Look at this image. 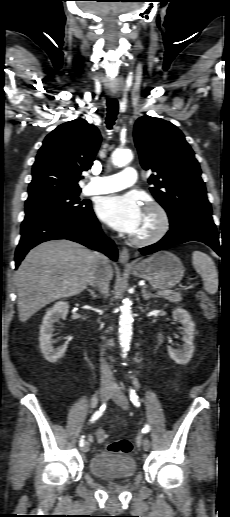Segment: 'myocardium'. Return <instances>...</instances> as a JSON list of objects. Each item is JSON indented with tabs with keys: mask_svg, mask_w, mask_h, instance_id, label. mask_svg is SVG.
Segmentation results:
<instances>
[{
	"mask_svg": "<svg viewBox=\"0 0 230 517\" xmlns=\"http://www.w3.org/2000/svg\"><path fill=\"white\" fill-rule=\"evenodd\" d=\"M144 210L152 211L155 214L157 218V224L154 230L149 234L142 236H131V242L138 246H146L160 241L169 232L171 226L169 213L158 201H148L144 206Z\"/></svg>",
	"mask_w": 230,
	"mask_h": 517,
	"instance_id": "1",
	"label": "myocardium"
}]
</instances>
